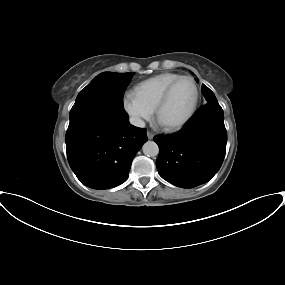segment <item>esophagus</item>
<instances>
[{"label": "esophagus", "mask_w": 285, "mask_h": 285, "mask_svg": "<svg viewBox=\"0 0 285 285\" xmlns=\"http://www.w3.org/2000/svg\"><path fill=\"white\" fill-rule=\"evenodd\" d=\"M147 137L149 140L153 139L154 138V134L150 131H147Z\"/></svg>", "instance_id": "esophagus-1"}]
</instances>
